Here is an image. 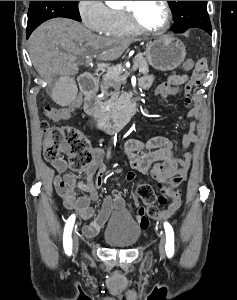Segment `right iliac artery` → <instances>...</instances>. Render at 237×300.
<instances>
[{
  "instance_id": "obj_1",
  "label": "right iliac artery",
  "mask_w": 237,
  "mask_h": 300,
  "mask_svg": "<svg viewBox=\"0 0 237 300\" xmlns=\"http://www.w3.org/2000/svg\"><path fill=\"white\" fill-rule=\"evenodd\" d=\"M74 223H75V215L73 214L66 221V225H65V228H64V234H63V246H64L65 253L67 255L72 254L71 233H72Z\"/></svg>"
}]
</instances>
